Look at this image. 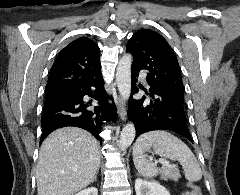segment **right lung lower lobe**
<instances>
[{
    "instance_id": "98d812e1",
    "label": "right lung lower lobe",
    "mask_w": 240,
    "mask_h": 195,
    "mask_svg": "<svg viewBox=\"0 0 240 195\" xmlns=\"http://www.w3.org/2000/svg\"><path fill=\"white\" fill-rule=\"evenodd\" d=\"M85 95L94 99L87 101ZM116 107L108 103L102 76L78 87L60 88L45 92L41 118L40 144L54 130L75 126L89 131L102 143L99 136L104 122L116 120Z\"/></svg>"
}]
</instances>
